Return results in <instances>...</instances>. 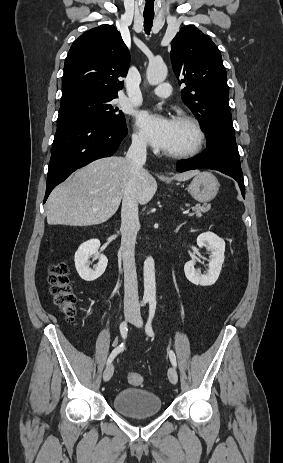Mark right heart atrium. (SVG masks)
<instances>
[{
    "label": "right heart atrium",
    "mask_w": 283,
    "mask_h": 463,
    "mask_svg": "<svg viewBox=\"0 0 283 463\" xmlns=\"http://www.w3.org/2000/svg\"><path fill=\"white\" fill-rule=\"evenodd\" d=\"M132 142H133V145L138 149H144L146 148V145H147L144 136L140 132L133 133Z\"/></svg>",
    "instance_id": "1"
}]
</instances>
